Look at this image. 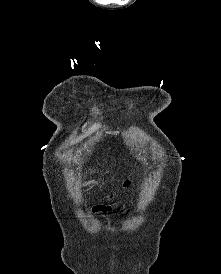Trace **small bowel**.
Here are the masks:
<instances>
[{"label":"small bowel","mask_w":221,"mask_h":274,"mask_svg":"<svg viewBox=\"0 0 221 274\" xmlns=\"http://www.w3.org/2000/svg\"><path fill=\"white\" fill-rule=\"evenodd\" d=\"M111 210H112V208L109 207V206H96V207L93 209V212H94L95 214H100V215H102V214H105V213L110 212Z\"/></svg>","instance_id":"1"}]
</instances>
